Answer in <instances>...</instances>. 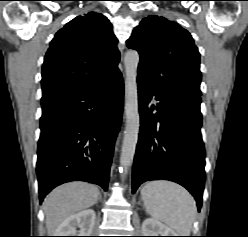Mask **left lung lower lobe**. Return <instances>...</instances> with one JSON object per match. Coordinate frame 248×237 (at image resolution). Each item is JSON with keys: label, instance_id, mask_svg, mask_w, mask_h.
Returning a JSON list of instances; mask_svg holds the SVG:
<instances>
[{"label": "left lung lower lobe", "instance_id": "obj_1", "mask_svg": "<svg viewBox=\"0 0 248 237\" xmlns=\"http://www.w3.org/2000/svg\"><path fill=\"white\" fill-rule=\"evenodd\" d=\"M140 133L134 158L132 190L148 180L165 179L184 186L202 205L205 150L201 137V99L164 95L138 79ZM159 101L150 105L152 97ZM156 110L157 113L152 112Z\"/></svg>", "mask_w": 248, "mask_h": 237}]
</instances>
